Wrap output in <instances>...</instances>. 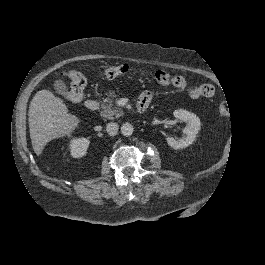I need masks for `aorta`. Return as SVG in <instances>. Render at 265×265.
<instances>
[{
    "mask_svg": "<svg viewBox=\"0 0 265 265\" xmlns=\"http://www.w3.org/2000/svg\"><path fill=\"white\" fill-rule=\"evenodd\" d=\"M133 131H134L133 125L128 122L124 123L121 127V133L124 136L132 135Z\"/></svg>",
    "mask_w": 265,
    "mask_h": 265,
    "instance_id": "obj_1",
    "label": "aorta"
}]
</instances>
